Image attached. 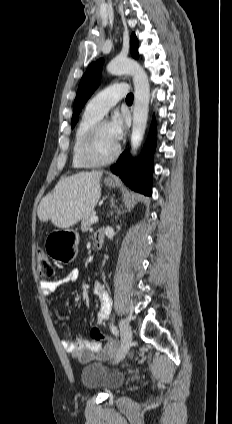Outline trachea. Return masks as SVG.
I'll list each match as a JSON object with an SVG mask.
<instances>
[{"mask_svg":"<svg viewBox=\"0 0 232 424\" xmlns=\"http://www.w3.org/2000/svg\"><path fill=\"white\" fill-rule=\"evenodd\" d=\"M126 101L127 102H133V94L132 93H130V94L127 95Z\"/></svg>","mask_w":232,"mask_h":424,"instance_id":"1","label":"trachea"}]
</instances>
